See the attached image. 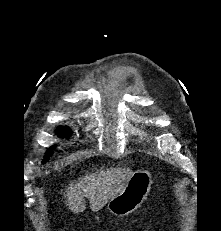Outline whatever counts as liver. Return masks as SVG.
<instances>
[{
    "instance_id": "liver-1",
    "label": "liver",
    "mask_w": 221,
    "mask_h": 231,
    "mask_svg": "<svg viewBox=\"0 0 221 231\" xmlns=\"http://www.w3.org/2000/svg\"><path fill=\"white\" fill-rule=\"evenodd\" d=\"M132 175L129 168H111L89 174L67 188L64 193L65 204L78 214L85 209L86 197L89 199L90 209L97 212L122 192Z\"/></svg>"
}]
</instances>
